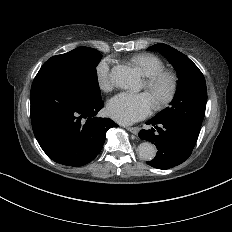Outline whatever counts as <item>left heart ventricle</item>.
Wrapping results in <instances>:
<instances>
[{"label": "left heart ventricle", "mask_w": 232, "mask_h": 232, "mask_svg": "<svg viewBox=\"0 0 232 232\" xmlns=\"http://www.w3.org/2000/svg\"><path fill=\"white\" fill-rule=\"evenodd\" d=\"M151 95V98L153 101H157V96L156 95H153V94H150Z\"/></svg>", "instance_id": "1"}]
</instances>
